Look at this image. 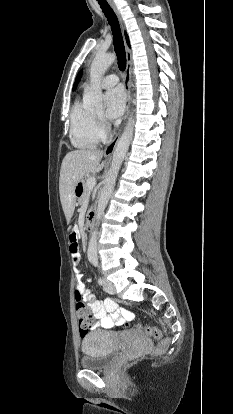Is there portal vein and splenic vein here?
<instances>
[{"label":"portal vein and splenic vein","instance_id":"portal-vein-and-splenic-vein-1","mask_svg":"<svg viewBox=\"0 0 233 414\" xmlns=\"http://www.w3.org/2000/svg\"><path fill=\"white\" fill-rule=\"evenodd\" d=\"M87 185L92 189L96 185V179L94 177L88 178Z\"/></svg>","mask_w":233,"mask_h":414}]
</instances>
